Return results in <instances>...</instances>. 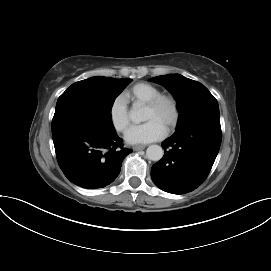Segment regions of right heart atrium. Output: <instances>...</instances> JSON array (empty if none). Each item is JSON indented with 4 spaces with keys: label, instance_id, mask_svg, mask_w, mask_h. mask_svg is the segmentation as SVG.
<instances>
[{
    "label": "right heart atrium",
    "instance_id": "d8ad5b80",
    "mask_svg": "<svg viewBox=\"0 0 271 271\" xmlns=\"http://www.w3.org/2000/svg\"><path fill=\"white\" fill-rule=\"evenodd\" d=\"M109 119L112 127L117 132H124L129 124L130 117L126 100L121 96H116L109 107Z\"/></svg>",
    "mask_w": 271,
    "mask_h": 271
}]
</instances>
